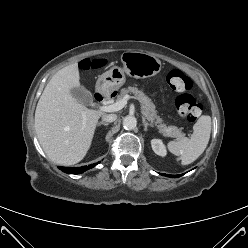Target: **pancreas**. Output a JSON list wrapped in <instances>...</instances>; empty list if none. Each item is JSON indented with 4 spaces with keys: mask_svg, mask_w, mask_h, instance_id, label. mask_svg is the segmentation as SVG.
I'll list each match as a JSON object with an SVG mask.
<instances>
[{
    "mask_svg": "<svg viewBox=\"0 0 248 248\" xmlns=\"http://www.w3.org/2000/svg\"><path fill=\"white\" fill-rule=\"evenodd\" d=\"M128 93H133L135 98L140 102L142 114L147 118V120L151 123L152 126H156L160 133L165 136L181 139L185 136V134L175 126H166L163 124L162 118L157 115V111L155 110V105L152 100L145 95L142 91L135 87H127L123 88L120 91V94L117 96V100L123 99L125 95Z\"/></svg>",
    "mask_w": 248,
    "mask_h": 248,
    "instance_id": "pancreas-1",
    "label": "pancreas"
}]
</instances>
